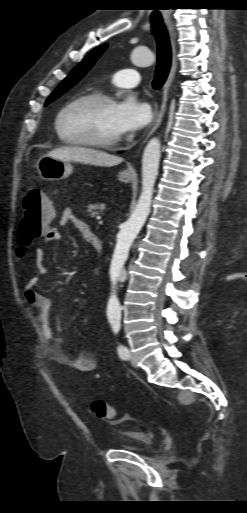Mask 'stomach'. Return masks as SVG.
<instances>
[{"mask_svg": "<svg viewBox=\"0 0 247 513\" xmlns=\"http://www.w3.org/2000/svg\"><path fill=\"white\" fill-rule=\"evenodd\" d=\"M37 169L43 180L51 182L68 177L73 171V166L69 161H62L45 155L38 160ZM118 179L128 183L132 177L125 172H121L118 175Z\"/></svg>", "mask_w": 247, "mask_h": 513, "instance_id": "0dacf381", "label": "stomach"}]
</instances>
